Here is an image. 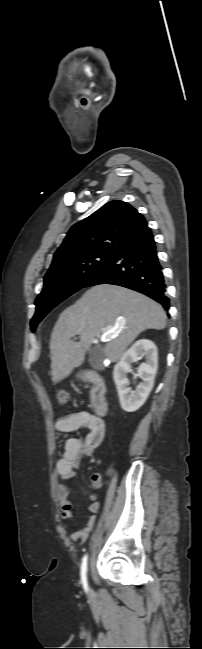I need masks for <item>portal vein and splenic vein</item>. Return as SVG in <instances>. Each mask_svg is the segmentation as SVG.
Instances as JSON below:
<instances>
[{
  "label": "portal vein and splenic vein",
  "mask_w": 202,
  "mask_h": 649,
  "mask_svg": "<svg viewBox=\"0 0 202 649\" xmlns=\"http://www.w3.org/2000/svg\"><path fill=\"white\" fill-rule=\"evenodd\" d=\"M112 333H113L112 330H105V331L102 332V334L100 335V339H101L102 341H104V342H105V341H108V338L112 335Z\"/></svg>",
  "instance_id": "obj_1"
}]
</instances>
